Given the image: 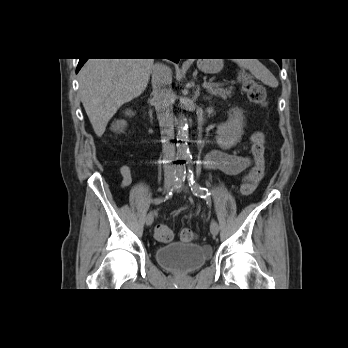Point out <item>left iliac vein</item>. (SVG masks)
I'll return each mask as SVG.
<instances>
[{"mask_svg":"<svg viewBox=\"0 0 348 348\" xmlns=\"http://www.w3.org/2000/svg\"><path fill=\"white\" fill-rule=\"evenodd\" d=\"M210 232L213 236H216L219 232V225L215 220H213L210 224Z\"/></svg>","mask_w":348,"mask_h":348,"instance_id":"obj_1","label":"left iliac vein"}]
</instances>
